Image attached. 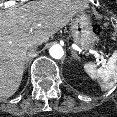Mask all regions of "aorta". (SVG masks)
<instances>
[{
	"label": "aorta",
	"mask_w": 117,
	"mask_h": 117,
	"mask_svg": "<svg viewBox=\"0 0 117 117\" xmlns=\"http://www.w3.org/2000/svg\"><path fill=\"white\" fill-rule=\"evenodd\" d=\"M49 54L54 59H61L64 56V50L60 45H54L49 49Z\"/></svg>",
	"instance_id": "obj_1"
}]
</instances>
